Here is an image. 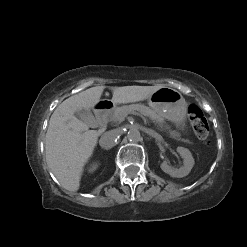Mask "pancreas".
I'll return each instance as SVG.
<instances>
[{"label":"pancreas","mask_w":247,"mask_h":247,"mask_svg":"<svg viewBox=\"0 0 247 247\" xmlns=\"http://www.w3.org/2000/svg\"><path fill=\"white\" fill-rule=\"evenodd\" d=\"M137 112L141 115L148 116L155 124L159 126L164 123V119L153 109L141 104H131L117 107L111 114L108 115L107 120L115 124H120L129 113ZM170 137L179 139V135L174 131L170 132Z\"/></svg>","instance_id":"obj_1"}]
</instances>
